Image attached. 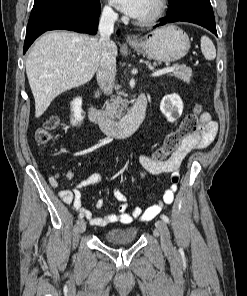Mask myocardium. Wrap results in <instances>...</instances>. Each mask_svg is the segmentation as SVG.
I'll list each match as a JSON object with an SVG mask.
<instances>
[{
	"instance_id": "myocardium-1",
	"label": "myocardium",
	"mask_w": 247,
	"mask_h": 296,
	"mask_svg": "<svg viewBox=\"0 0 247 296\" xmlns=\"http://www.w3.org/2000/svg\"><path fill=\"white\" fill-rule=\"evenodd\" d=\"M166 10V0H154V9L152 13L143 19H137L136 23L140 26H151L158 22Z\"/></svg>"
}]
</instances>
